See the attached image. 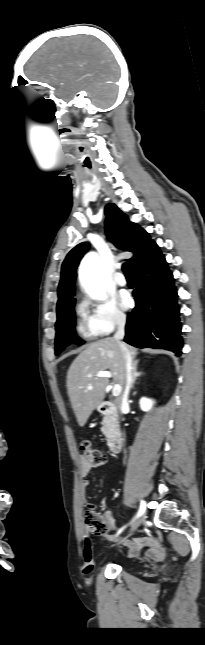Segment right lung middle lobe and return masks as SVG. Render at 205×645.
<instances>
[{"label": "right lung middle lobe", "instance_id": "dd1d6c3e", "mask_svg": "<svg viewBox=\"0 0 205 645\" xmlns=\"http://www.w3.org/2000/svg\"><path fill=\"white\" fill-rule=\"evenodd\" d=\"M74 302L65 310L57 314L55 354L58 355L66 346L75 341V312ZM77 344H81L76 341Z\"/></svg>", "mask_w": 205, "mask_h": 645}]
</instances>
